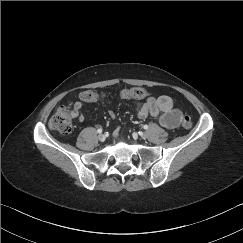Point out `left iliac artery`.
Wrapping results in <instances>:
<instances>
[{
  "mask_svg": "<svg viewBox=\"0 0 243 243\" xmlns=\"http://www.w3.org/2000/svg\"><path fill=\"white\" fill-rule=\"evenodd\" d=\"M143 128L146 130L148 129V125H144Z\"/></svg>",
  "mask_w": 243,
  "mask_h": 243,
  "instance_id": "left-iliac-artery-1",
  "label": "left iliac artery"
}]
</instances>
